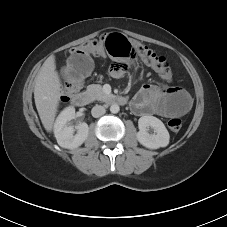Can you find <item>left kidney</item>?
Returning <instances> with one entry per match:
<instances>
[{
    "instance_id": "1",
    "label": "left kidney",
    "mask_w": 227,
    "mask_h": 227,
    "mask_svg": "<svg viewBox=\"0 0 227 227\" xmlns=\"http://www.w3.org/2000/svg\"><path fill=\"white\" fill-rule=\"evenodd\" d=\"M139 131L137 140L149 149L166 147L169 144V132L161 120L154 116H142L138 120ZM154 129V134H149V128Z\"/></svg>"
}]
</instances>
